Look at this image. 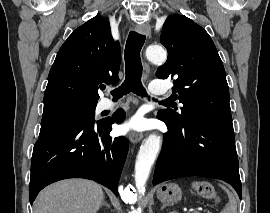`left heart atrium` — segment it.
I'll return each mask as SVG.
<instances>
[{"instance_id": "left-heart-atrium-1", "label": "left heart atrium", "mask_w": 270, "mask_h": 213, "mask_svg": "<svg viewBox=\"0 0 270 213\" xmlns=\"http://www.w3.org/2000/svg\"><path fill=\"white\" fill-rule=\"evenodd\" d=\"M143 127V121L139 117L133 118L126 126L125 130H140Z\"/></svg>"}]
</instances>
